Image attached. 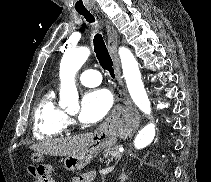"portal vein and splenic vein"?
<instances>
[{
	"mask_svg": "<svg viewBox=\"0 0 211 182\" xmlns=\"http://www.w3.org/2000/svg\"><path fill=\"white\" fill-rule=\"evenodd\" d=\"M113 169H114L113 167H107V168L101 170L100 172H101L102 174H107V173L112 172Z\"/></svg>",
	"mask_w": 211,
	"mask_h": 182,
	"instance_id": "obj_1",
	"label": "portal vein and splenic vein"
}]
</instances>
